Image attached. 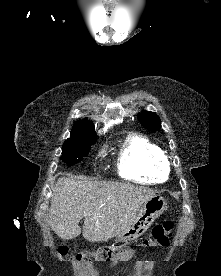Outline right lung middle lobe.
Returning <instances> with one entry per match:
<instances>
[{
  "mask_svg": "<svg viewBox=\"0 0 221 276\" xmlns=\"http://www.w3.org/2000/svg\"><path fill=\"white\" fill-rule=\"evenodd\" d=\"M94 143L95 141L64 142L61 160L68 166L77 164L87 156Z\"/></svg>",
  "mask_w": 221,
  "mask_h": 276,
  "instance_id": "obj_1",
  "label": "right lung middle lobe"
}]
</instances>
